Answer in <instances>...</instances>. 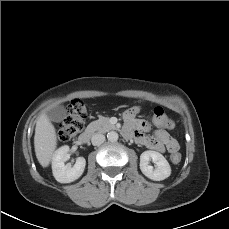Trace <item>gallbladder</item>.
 Here are the masks:
<instances>
[{
    "mask_svg": "<svg viewBox=\"0 0 229 229\" xmlns=\"http://www.w3.org/2000/svg\"><path fill=\"white\" fill-rule=\"evenodd\" d=\"M67 115V110L64 105H57L48 111V117L52 121L60 122Z\"/></svg>",
    "mask_w": 229,
    "mask_h": 229,
    "instance_id": "1",
    "label": "gallbladder"
}]
</instances>
